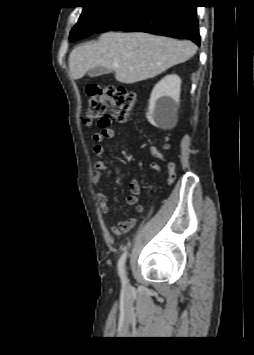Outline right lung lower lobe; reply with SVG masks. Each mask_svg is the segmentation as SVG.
I'll return each instance as SVG.
<instances>
[{
  "label": "right lung lower lobe",
  "instance_id": "obj_1",
  "mask_svg": "<svg viewBox=\"0 0 254 355\" xmlns=\"http://www.w3.org/2000/svg\"><path fill=\"white\" fill-rule=\"evenodd\" d=\"M196 15V6L190 0H131L121 4L95 33L140 31L187 38L200 45Z\"/></svg>",
  "mask_w": 254,
  "mask_h": 355
}]
</instances>
